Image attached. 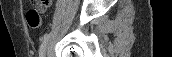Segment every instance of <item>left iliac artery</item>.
<instances>
[{"label":"left iliac artery","mask_w":172,"mask_h":57,"mask_svg":"<svg viewBox=\"0 0 172 57\" xmlns=\"http://www.w3.org/2000/svg\"><path fill=\"white\" fill-rule=\"evenodd\" d=\"M49 38H50V33L45 34L44 37L42 38V43L39 48V57L45 56V50H46V46H47Z\"/></svg>","instance_id":"left-iliac-artery-1"}]
</instances>
